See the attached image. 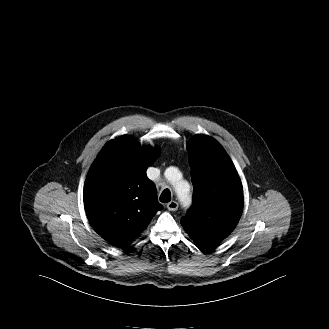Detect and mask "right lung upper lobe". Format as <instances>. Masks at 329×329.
I'll return each mask as SVG.
<instances>
[{"mask_svg":"<svg viewBox=\"0 0 329 329\" xmlns=\"http://www.w3.org/2000/svg\"><path fill=\"white\" fill-rule=\"evenodd\" d=\"M156 158L155 150L123 135L106 143L91 165L84 185L85 211L94 230L112 245L127 247L163 208L146 175Z\"/></svg>","mask_w":329,"mask_h":329,"instance_id":"cb5924a9","label":"right lung upper lobe"}]
</instances>
